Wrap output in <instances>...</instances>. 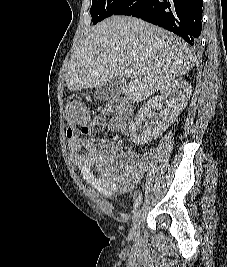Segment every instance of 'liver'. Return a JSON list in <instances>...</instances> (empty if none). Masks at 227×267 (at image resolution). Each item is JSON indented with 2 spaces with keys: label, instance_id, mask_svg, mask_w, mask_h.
<instances>
[{
  "label": "liver",
  "instance_id": "1",
  "mask_svg": "<svg viewBox=\"0 0 227 267\" xmlns=\"http://www.w3.org/2000/svg\"><path fill=\"white\" fill-rule=\"evenodd\" d=\"M194 66V55L181 38L132 17L112 16L92 28L72 55L66 84L70 91L101 87L125 69L135 73L120 88L140 102Z\"/></svg>",
  "mask_w": 227,
  "mask_h": 267
}]
</instances>
